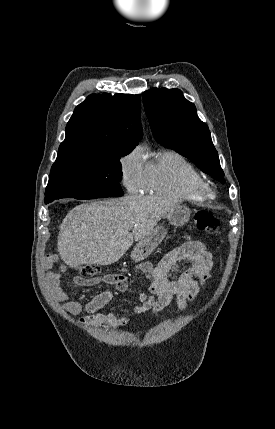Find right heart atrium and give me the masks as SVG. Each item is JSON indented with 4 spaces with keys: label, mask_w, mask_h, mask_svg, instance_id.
Here are the masks:
<instances>
[{
    "label": "right heart atrium",
    "mask_w": 275,
    "mask_h": 429,
    "mask_svg": "<svg viewBox=\"0 0 275 429\" xmlns=\"http://www.w3.org/2000/svg\"><path fill=\"white\" fill-rule=\"evenodd\" d=\"M120 178L124 187L132 193L143 189L145 163L140 149H133L119 160Z\"/></svg>",
    "instance_id": "d8ad5b80"
}]
</instances>
